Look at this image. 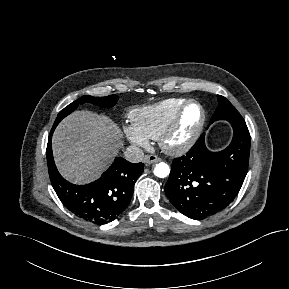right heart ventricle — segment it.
Listing matches in <instances>:
<instances>
[{"label": "right heart ventricle", "mask_w": 289, "mask_h": 289, "mask_svg": "<svg viewBox=\"0 0 289 289\" xmlns=\"http://www.w3.org/2000/svg\"><path fill=\"white\" fill-rule=\"evenodd\" d=\"M186 101L173 97L132 111L133 124L149 139H158Z\"/></svg>", "instance_id": "1"}]
</instances>
